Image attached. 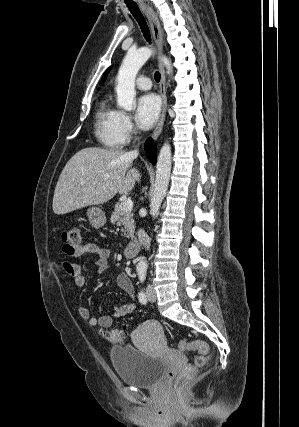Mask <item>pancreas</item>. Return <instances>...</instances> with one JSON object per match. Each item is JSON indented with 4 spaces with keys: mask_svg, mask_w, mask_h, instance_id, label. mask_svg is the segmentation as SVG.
I'll return each instance as SVG.
<instances>
[{
    "mask_svg": "<svg viewBox=\"0 0 299 427\" xmlns=\"http://www.w3.org/2000/svg\"><path fill=\"white\" fill-rule=\"evenodd\" d=\"M123 202L118 203L111 215L110 221L117 226H123L121 231L127 238L134 237L135 224L131 211L123 209Z\"/></svg>",
    "mask_w": 299,
    "mask_h": 427,
    "instance_id": "cf45deb5",
    "label": "pancreas"
}]
</instances>
